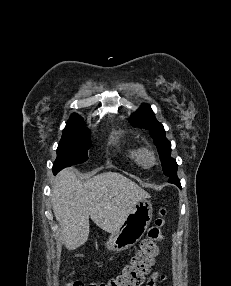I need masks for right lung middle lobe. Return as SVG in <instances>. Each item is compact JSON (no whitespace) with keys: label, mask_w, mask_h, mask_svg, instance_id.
<instances>
[{"label":"right lung middle lobe","mask_w":231,"mask_h":286,"mask_svg":"<svg viewBox=\"0 0 231 286\" xmlns=\"http://www.w3.org/2000/svg\"><path fill=\"white\" fill-rule=\"evenodd\" d=\"M89 147V130L85 128L80 117H71L63 130L53 170L58 172L65 167L86 161Z\"/></svg>","instance_id":"obj_1"}]
</instances>
